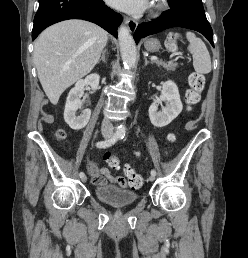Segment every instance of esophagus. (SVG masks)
I'll return each instance as SVG.
<instances>
[{
  "label": "esophagus",
  "mask_w": 248,
  "mask_h": 258,
  "mask_svg": "<svg viewBox=\"0 0 248 258\" xmlns=\"http://www.w3.org/2000/svg\"><path fill=\"white\" fill-rule=\"evenodd\" d=\"M125 24L127 25L130 32H134L137 28L138 23L135 20L125 18Z\"/></svg>",
  "instance_id": "34e87169"
}]
</instances>
